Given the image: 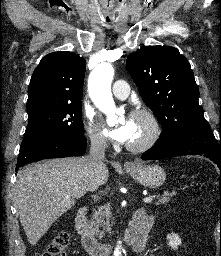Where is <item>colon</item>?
<instances>
[{
  "instance_id": "colon-1",
  "label": "colon",
  "mask_w": 221,
  "mask_h": 256,
  "mask_svg": "<svg viewBox=\"0 0 221 256\" xmlns=\"http://www.w3.org/2000/svg\"><path fill=\"white\" fill-rule=\"evenodd\" d=\"M70 244L69 234L65 231L59 232L36 256H66Z\"/></svg>"
}]
</instances>
